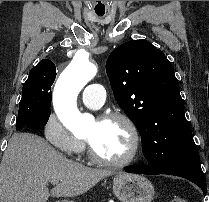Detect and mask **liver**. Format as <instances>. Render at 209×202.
I'll list each match as a JSON object with an SVG mask.
<instances>
[{
	"instance_id": "6515ba94",
	"label": "liver",
	"mask_w": 209,
	"mask_h": 202,
	"mask_svg": "<svg viewBox=\"0 0 209 202\" xmlns=\"http://www.w3.org/2000/svg\"><path fill=\"white\" fill-rule=\"evenodd\" d=\"M112 174L67 159L38 135L15 133L0 165V202H46L50 196H79ZM51 180L60 183L49 191Z\"/></svg>"
}]
</instances>
